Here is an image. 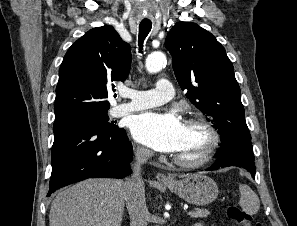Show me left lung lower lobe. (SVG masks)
I'll use <instances>...</instances> for the list:
<instances>
[{
    "instance_id": "obj_1",
    "label": "left lung lower lobe",
    "mask_w": 297,
    "mask_h": 226,
    "mask_svg": "<svg viewBox=\"0 0 297 226\" xmlns=\"http://www.w3.org/2000/svg\"><path fill=\"white\" fill-rule=\"evenodd\" d=\"M252 149V143L245 145H223L217 151V160L215 163L206 170H217L229 166L243 167L249 171L253 179H255L256 167Z\"/></svg>"
}]
</instances>
